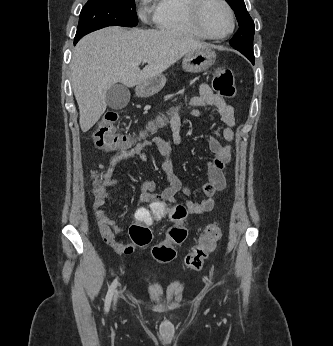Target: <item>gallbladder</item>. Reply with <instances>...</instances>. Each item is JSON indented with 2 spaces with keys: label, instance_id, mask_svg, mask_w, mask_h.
<instances>
[{
  "label": "gallbladder",
  "instance_id": "1",
  "mask_svg": "<svg viewBox=\"0 0 333 346\" xmlns=\"http://www.w3.org/2000/svg\"><path fill=\"white\" fill-rule=\"evenodd\" d=\"M130 100V91L128 87L119 83L111 86L106 93L107 105L114 109L120 110L127 106Z\"/></svg>",
  "mask_w": 333,
  "mask_h": 346
}]
</instances>
